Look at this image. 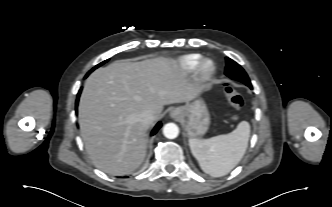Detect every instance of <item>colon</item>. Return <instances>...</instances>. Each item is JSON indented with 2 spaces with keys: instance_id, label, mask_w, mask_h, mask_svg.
I'll list each match as a JSON object with an SVG mask.
<instances>
[{
  "instance_id": "colon-1",
  "label": "colon",
  "mask_w": 332,
  "mask_h": 207,
  "mask_svg": "<svg viewBox=\"0 0 332 207\" xmlns=\"http://www.w3.org/2000/svg\"><path fill=\"white\" fill-rule=\"evenodd\" d=\"M224 90H225V94H226V97H227V100H228L229 104L231 105L233 110L236 113H238L244 105L243 96L234 88L232 83L229 82V81H226L224 83ZM236 117L237 116L234 115L233 119H236Z\"/></svg>"
}]
</instances>
